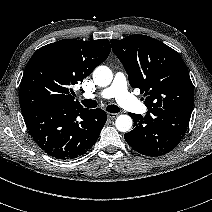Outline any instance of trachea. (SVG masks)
Here are the masks:
<instances>
[{"label":"trachea","instance_id":"trachea-1","mask_svg":"<svg viewBox=\"0 0 212 212\" xmlns=\"http://www.w3.org/2000/svg\"><path fill=\"white\" fill-rule=\"evenodd\" d=\"M82 103L85 107L87 108H95L97 107V102L95 100H91V99H85L82 100ZM106 110L110 113H117L120 111V108L116 105H108L106 107Z\"/></svg>","mask_w":212,"mask_h":212}]
</instances>
